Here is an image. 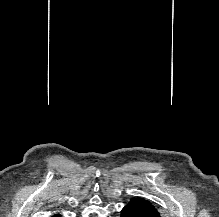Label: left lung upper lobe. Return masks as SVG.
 <instances>
[{
    "instance_id": "obj_1",
    "label": "left lung upper lobe",
    "mask_w": 219,
    "mask_h": 217,
    "mask_svg": "<svg viewBox=\"0 0 219 217\" xmlns=\"http://www.w3.org/2000/svg\"><path fill=\"white\" fill-rule=\"evenodd\" d=\"M131 202L133 203H137L139 206H141V208L146 211L147 213L151 214V215H155V216H160L159 212L157 211V209L155 208V206L148 200L144 199V198H140V199H132Z\"/></svg>"
}]
</instances>
